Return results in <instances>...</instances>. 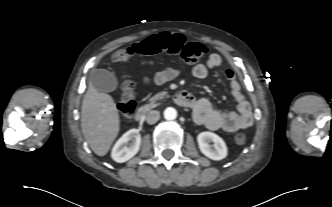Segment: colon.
<instances>
[{"label":"colon","instance_id":"obj_1","mask_svg":"<svg viewBox=\"0 0 332 207\" xmlns=\"http://www.w3.org/2000/svg\"><path fill=\"white\" fill-rule=\"evenodd\" d=\"M167 52L180 56L186 63L194 64L206 53V48L196 42H188L181 34L160 33L132 45H124L113 54L115 61H124L134 55H152ZM136 108L134 100V83L126 79L121 93L120 110L125 119H129ZM245 135L239 133L235 137L237 144H243Z\"/></svg>","mask_w":332,"mask_h":207}]
</instances>
